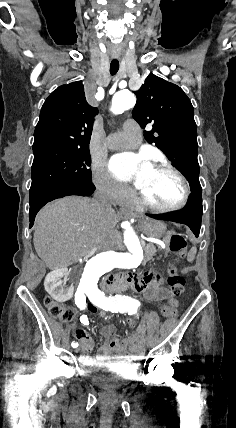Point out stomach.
I'll list each match as a JSON object with an SVG mask.
<instances>
[{
	"label": "stomach",
	"instance_id": "1",
	"mask_svg": "<svg viewBox=\"0 0 236 428\" xmlns=\"http://www.w3.org/2000/svg\"><path fill=\"white\" fill-rule=\"evenodd\" d=\"M165 230L166 226L162 222H153V224H146L145 226L146 236H151V238H163Z\"/></svg>",
	"mask_w": 236,
	"mask_h": 428
}]
</instances>
